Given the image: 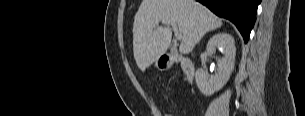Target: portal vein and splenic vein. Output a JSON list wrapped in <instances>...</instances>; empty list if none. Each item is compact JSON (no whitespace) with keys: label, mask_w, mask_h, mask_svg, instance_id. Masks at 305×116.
I'll list each match as a JSON object with an SVG mask.
<instances>
[{"label":"portal vein and splenic vein","mask_w":305,"mask_h":116,"mask_svg":"<svg viewBox=\"0 0 305 116\" xmlns=\"http://www.w3.org/2000/svg\"><path fill=\"white\" fill-rule=\"evenodd\" d=\"M161 23L163 25H167V26L170 25L172 27V29L174 30V32H175L176 39L177 40H181L182 39V35L179 33L178 28H177V24L175 22L163 20Z\"/></svg>","instance_id":"portal-vein-and-splenic-vein-1"}]
</instances>
